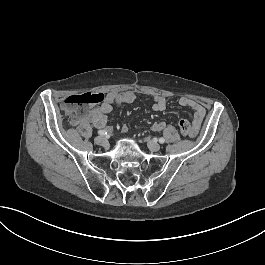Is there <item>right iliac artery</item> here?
<instances>
[{
  "mask_svg": "<svg viewBox=\"0 0 265 265\" xmlns=\"http://www.w3.org/2000/svg\"><path fill=\"white\" fill-rule=\"evenodd\" d=\"M98 134L99 135H105V134H107V132L105 130H99L98 131Z\"/></svg>",
  "mask_w": 265,
  "mask_h": 265,
  "instance_id": "right-iliac-artery-1",
  "label": "right iliac artery"
}]
</instances>
